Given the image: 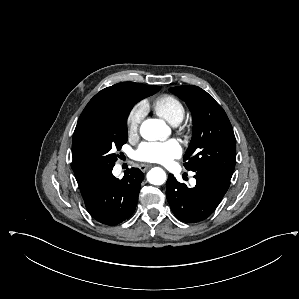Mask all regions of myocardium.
<instances>
[{
  "instance_id": "myocardium-1",
  "label": "myocardium",
  "mask_w": 299,
  "mask_h": 299,
  "mask_svg": "<svg viewBox=\"0 0 299 299\" xmlns=\"http://www.w3.org/2000/svg\"><path fill=\"white\" fill-rule=\"evenodd\" d=\"M180 130L182 131L183 134H187L189 129L186 125L181 126Z\"/></svg>"
}]
</instances>
